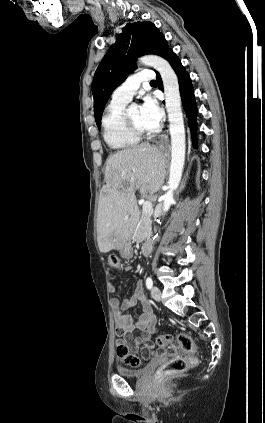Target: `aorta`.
<instances>
[{"label": "aorta", "instance_id": "1", "mask_svg": "<svg viewBox=\"0 0 265 423\" xmlns=\"http://www.w3.org/2000/svg\"><path fill=\"white\" fill-rule=\"evenodd\" d=\"M139 63L156 69L161 75L164 86L171 135L170 175L168 191L164 195L162 208L165 213L169 210L174 201L173 192L179 186L185 161V128L181 109L178 77L169 62L160 56L146 55L139 59Z\"/></svg>", "mask_w": 265, "mask_h": 423}]
</instances>
